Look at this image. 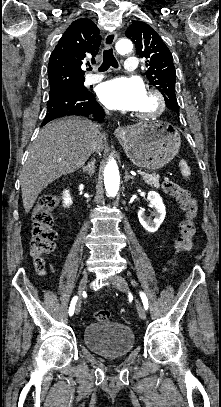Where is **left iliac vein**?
<instances>
[{
  "mask_svg": "<svg viewBox=\"0 0 221 407\" xmlns=\"http://www.w3.org/2000/svg\"><path fill=\"white\" fill-rule=\"evenodd\" d=\"M109 280L115 285V287L118 290L125 292V293L131 292L128 283L122 276L114 275V276L110 277ZM136 308H137L139 317L142 320H145L146 312H145L143 306L138 301H136Z\"/></svg>",
  "mask_w": 221,
  "mask_h": 407,
  "instance_id": "left-iliac-vein-1",
  "label": "left iliac vein"
}]
</instances>
